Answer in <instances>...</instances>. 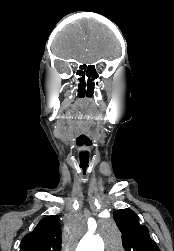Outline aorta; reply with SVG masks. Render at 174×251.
<instances>
[{
    "mask_svg": "<svg viewBox=\"0 0 174 251\" xmlns=\"http://www.w3.org/2000/svg\"><path fill=\"white\" fill-rule=\"evenodd\" d=\"M105 243L99 237L85 236L78 244L75 251H104L106 247L109 251L120 250L121 236L114 225L105 228L104 231Z\"/></svg>",
    "mask_w": 174,
    "mask_h": 251,
    "instance_id": "aorta-1",
    "label": "aorta"
}]
</instances>
